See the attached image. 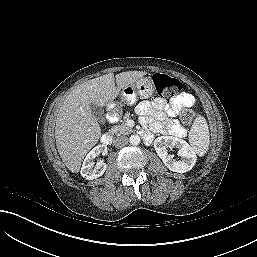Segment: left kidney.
I'll return each instance as SVG.
<instances>
[{
  "label": "left kidney",
  "mask_w": 257,
  "mask_h": 257,
  "mask_svg": "<svg viewBox=\"0 0 257 257\" xmlns=\"http://www.w3.org/2000/svg\"><path fill=\"white\" fill-rule=\"evenodd\" d=\"M154 148L165 166L173 172L185 173L190 171L197 160L191 146L183 139L173 136H160L154 140ZM166 148H176L177 155L182 159L177 161L173 155L168 154Z\"/></svg>",
  "instance_id": "left-kidney-1"
}]
</instances>
